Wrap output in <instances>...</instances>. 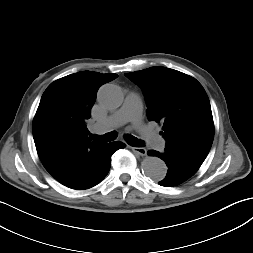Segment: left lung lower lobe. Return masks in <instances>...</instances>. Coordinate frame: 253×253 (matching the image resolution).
I'll use <instances>...</instances> for the list:
<instances>
[{
	"label": "left lung lower lobe",
	"mask_w": 253,
	"mask_h": 253,
	"mask_svg": "<svg viewBox=\"0 0 253 253\" xmlns=\"http://www.w3.org/2000/svg\"><path fill=\"white\" fill-rule=\"evenodd\" d=\"M148 154L165 161L168 172L166 177L159 182V185L165 187L175 186L189 179L205 160V157L167 147L163 153L149 150Z\"/></svg>",
	"instance_id": "left-lung-lower-lobe-1"
}]
</instances>
